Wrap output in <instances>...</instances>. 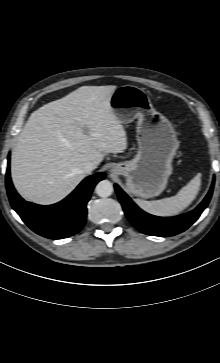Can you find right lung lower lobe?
<instances>
[{
  "label": "right lung lower lobe",
  "mask_w": 220,
  "mask_h": 363,
  "mask_svg": "<svg viewBox=\"0 0 220 363\" xmlns=\"http://www.w3.org/2000/svg\"><path fill=\"white\" fill-rule=\"evenodd\" d=\"M104 178L103 172L91 175L64 200L47 206L26 202L18 195L11 182L9 165L6 171V187L13 209L28 227L45 238L62 239L82 229L87 215L86 204L92 190Z\"/></svg>",
  "instance_id": "right-lung-lower-lobe-1"
}]
</instances>
